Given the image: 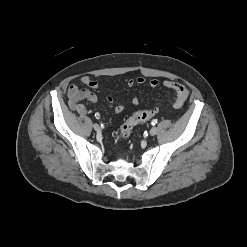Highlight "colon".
<instances>
[{
	"instance_id": "1",
	"label": "colon",
	"mask_w": 247,
	"mask_h": 247,
	"mask_svg": "<svg viewBox=\"0 0 247 247\" xmlns=\"http://www.w3.org/2000/svg\"><path fill=\"white\" fill-rule=\"evenodd\" d=\"M155 114V110H140L135 112L123 123L118 135V139L121 140L127 138L137 124L148 121Z\"/></svg>"
}]
</instances>
